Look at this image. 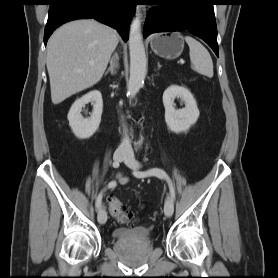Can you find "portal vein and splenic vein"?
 <instances>
[{
	"instance_id": "18ae733b",
	"label": "portal vein and splenic vein",
	"mask_w": 278,
	"mask_h": 278,
	"mask_svg": "<svg viewBox=\"0 0 278 278\" xmlns=\"http://www.w3.org/2000/svg\"><path fill=\"white\" fill-rule=\"evenodd\" d=\"M181 63H185V61H184V60H181Z\"/></svg>"
}]
</instances>
